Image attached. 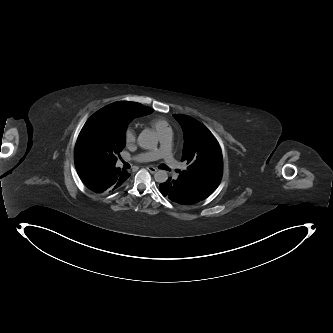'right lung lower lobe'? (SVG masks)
Segmentation results:
<instances>
[{
    "mask_svg": "<svg viewBox=\"0 0 333 333\" xmlns=\"http://www.w3.org/2000/svg\"><path fill=\"white\" fill-rule=\"evenodd\" d=\"M88 189L95 193H110L119 189L130 174L115 166L104 169L76 168Z\"/></svg>",
    "mask_w": 333,
    "mask_h": 333,
    "instance_id": "obj_1",
    "label": "right lung lower lobe"
}]
</instances>
